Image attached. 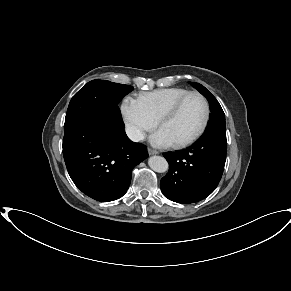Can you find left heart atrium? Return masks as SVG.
Here are the masks:
<instances>
[{
    "label": "left heart atrium",
    "instance_id": "left-heart-atrium-1",
    "mask_svg": "<svg viewBox=\"0 0 291 291\" xmlns=\"http://www.w3.org/2000/svg\"><path fill=\"white\" fill-rule=\"evenodd\" d=\"M150 141L155 146H169L172 144L165 133L160 129L151 136Z\"/></svg>",
    "mask_w": 291,
    "mask_h": 291
}]
</instances>
